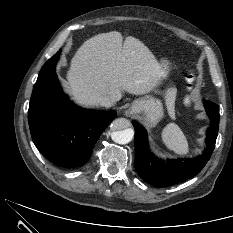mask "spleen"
<instances>
[{
  "label": "spleen",
  "mask_w": 233,
  "mask_h": 233,
  "mask_svg": "<svg viewBox=\"0 0 233 233\" xmlns=\"http://www.w3.org/2000/svg\"><path fill=\"white\" fill-rule=\"evenodd\" d=\"M162 140L169 150L179 155H187L189 153L188 141L183 131L175 123H169L164 127Z\"/></svg>",
  "instance_id": "obj_1"
}]
</instances>
